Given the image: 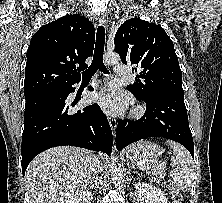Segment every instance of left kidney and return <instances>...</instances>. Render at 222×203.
<instances>
[{
    "mask_svg": "<svg viewBox=\"0 0 222 203\" xmlns=\"http://www.w3.org/2000/svg\"><path fill=\"white\" fill-rule=\"evenodd\" d=\"M135 188L141 194L143 203H168L165 193L150 183H135Z\"/></svg>",
    "mask_w": 222,
    "mask_h": 203,
    "instance_id": "5707ae66",
    "label": "left kidney"
}]
</instances>
